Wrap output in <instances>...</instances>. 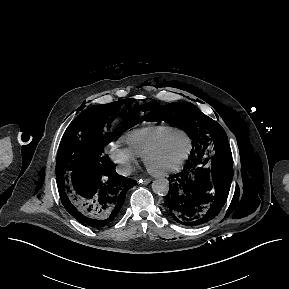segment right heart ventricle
Returning a JSON list of instances; mask_svg holds the SVG:
<instances>
[{
	"mask_svg": "<svg viewBox=\"0 0 289 289\" xmlns=\"http://www.w3.org/2000/svg\"><path fill=\"white\" fill-rule=\"evenodd\" d=\"M177 128L166 125H149L127 132L121 137V142L136 156L142 157L145 153L177 131Z\"/></svg>",
	"mask_w": 289,
	"mask_h": 289,
	"instance_id": "right-heart-ventricle-1",
	"label": "right heart ventricle"
}]
</instances>
